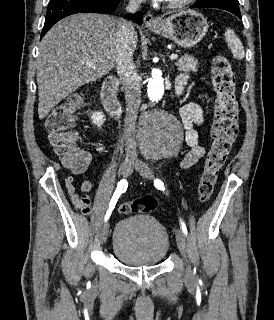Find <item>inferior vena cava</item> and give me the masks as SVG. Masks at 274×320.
I'll return each mask as SVG.
<instances>
[{
	"label": "inferior vena cava",
	"mask_w": 274,
	"mask_h": 320,
	"mask_svg": "<svg viewBox=\"0 0 274 320\" xmlns=\"http://www.w3.org/2000/svg\"><path fill=\"white\" fill-rule=\"evenodd\" d=\"M142 2H145V0H129L126 12L134 14V12L139 10ZM114 38L117 52L116 70L125 90L126 118L124 122V134L127 136L128 132H131L136 124V118L141 104V78L138 76L133 62V42L137 40V36L131 22L120 20V22L116 24ZM128 142V148L133 150L135 146H133L130 140H128Z\"/></svg>",
	"instance_id": "602c4592"
}]
</instances>
